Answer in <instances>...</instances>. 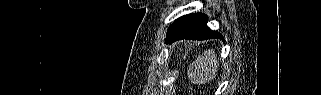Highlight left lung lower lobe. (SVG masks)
<instances>
[{
  "label": "left lung lower lobe",
  "instance_id": "0a47b994",
  "mask_svg": "<svg viewBox=\"0 0 321 95\" xmlns=\"http://www.w3.org/2000/svg\"><path fill=\"white\" fill-rule=\"evenodd\" d=\"M207 21V16L202 13H195L180 17L168 28L166 43H172L181 39H222L223 37L220 33L212 31L207 26Z\"/></svg>",
  "mask_w": 321,
  "mask_h": 95
}]
</instances>
